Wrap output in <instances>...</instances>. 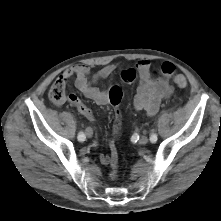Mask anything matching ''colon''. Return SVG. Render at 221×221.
<instances>
[{"label": "colon", "mask_w": 221, "mask_h": 221, "mask_svg": "<svg viewBox=\"0 0 221 221\" xmlns=\"http://www.w3.org/2000/svg\"><path fill=\"white\" fill-rule=\"evenodd\" d=\"M153 73H160L163 76L170 78L179 88L185 89L187 87V80L184 75L175 73V67L171 63H163L161 67L154 70ZM109 96L111 103L113 105L119 104L122 99V89L119 86H112L109 90ZM48 97L51 102L55 104H61L66 101L72 104H79L81 102L79 98L74 94H68L66 91V85L59 79L55 80L48 91ZM117 125L114 128V133L117 135L119 133V113H115ZM110 149V180H116L119 176L118 169V153L116 149V139L112 138L109 141Z\"/></svg>", "instance_id": "5ec220e1"}]
</instances>
